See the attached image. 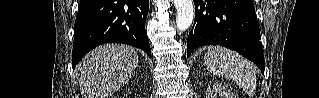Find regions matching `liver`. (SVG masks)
<instances>
[{
	"mask_svg": "<svg viewBox=\"0 0 319 98\" xmlns=\"http://www.w3.org/2000/svg\"><path fill=\"white\" fill-rule=\"evenodd\" d=\"M137 66L134 48L123 44L99 46L77 67L81 93L84 98H110L130 80Z\"/></svg>",
	"mask_w": 319,
	"mask_h": 98,
	"instance_id": "obj_1",
	"label": "liver"
}]
</instances>
